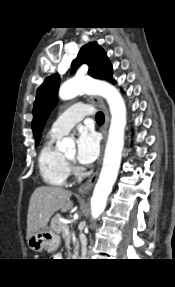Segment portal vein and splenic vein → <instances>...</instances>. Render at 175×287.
<instances>
[{"label":"portal vein and splenic vein","instance_id":"18ae733b","mask_svg":"<svg viewBox=\"0 0 175 287\" xmlns=\"http://www.w3.org/2000/svg\"><path fill=\"white\" fill-rule=\"evenodd\" d=\"M64 232H65V235H69V234H70V231H69V227H68V226H65V227H64Z\"/></svg>","mask_w":175,"mask_h":287}]
</instances>
